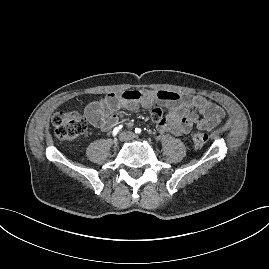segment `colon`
I'll return each instance as SVG.
<instances>
[{
	"label": "colon",
	"instance_id": "5ec220e1",
	"mask_svg": "<svg viewBox=\"0 0 269 269\" xmlns=\"http://www.w3.org/2000/svg\"><path fill=\"white\" fill-rule=\"evenodd\" d=\"M162 110L155 106L152 109V117L160 115ZM56 137L61 141H70L81 136L87 129V120L85 117L75 111H61L52 118ZM208 141V136L201 130H195L192 133V142L195 147H203Z\"/></svg>",
	"mask_w": 269,
	"mask_h": 269
}]
</instances>
